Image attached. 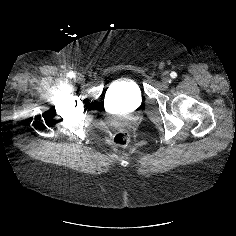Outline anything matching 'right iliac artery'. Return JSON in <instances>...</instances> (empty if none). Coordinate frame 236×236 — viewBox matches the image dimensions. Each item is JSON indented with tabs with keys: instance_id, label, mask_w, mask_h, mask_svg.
I'll use <instances>...</instances> for the list:
<instances>
[{
	"instance_id": "82829eb1",
	"label": "right iliac artery",
	"mask_w": 236,
	"mask_h": 236,
	"mask_svg": "<svg viewBox=\"0 0 236 236\" xmlns=\"http://www.w3.org/2000/svg\"><path fill=\"white\" fill-rule=\"evenodd\" d=\"M74 76H75V73H74V72L71 71V72L68 73V77L72 78V77H74Z\"/></svg>"
}]
</instances>
